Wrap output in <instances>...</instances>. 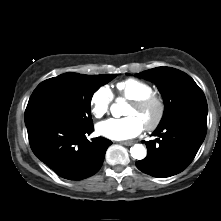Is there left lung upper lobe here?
<instances>
[{"mask_svg":"<svg viewBox=\"0 0 221 221\" xmlns=\"http://www.w3.org/2000/svg\"><path fill=\"white\" fill-rule=\"evenodd\" d=\"M136 76L154 82L163 95L165 111L159 125L166 124L182 112L207 108L202 90L189 75L180 70L157 67Z\"/></svg>","mask_w":221,"mask_h":221,"instance_id":"obj_1","label":"left lung upper lobe"}]
</instances>
